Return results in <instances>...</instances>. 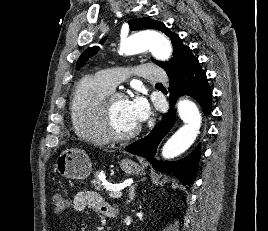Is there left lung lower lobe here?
<instances>
[{"mask_svg":"<svg viewBox=\"0 0 268 231\" xmlns=\"http://www.w3.org/2000/svg\"><path fill=\"white\" fill-rule=\"evenodd\" d=\"M170 86V110L163 116L160 123L152 129L150 134L140 139L125 150L132 154L147 158L153 166L162 173L175 175L183 185L192 184L196 179L200 158V145L182 160L175 162L158 161L154 159L156 148L163 137L171 130L176 115L174 105L182 95L193 97L201 106L205 116L211 112L212 92L209 88L206 74L198 59L191 58L184 67L168 74Z\"/></svg>","mask_w":268,"mask_h":231,"instance_id":"obj_1","label":"left lung lower lobe"}]
</instances>
